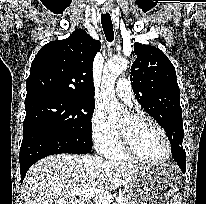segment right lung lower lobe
<instances>
[{
  "mask_svg": "<svg viewBox=\"0 0 206 204\" xmlns=\"http://www.w3.org/2000/svg\"><path fill=\"white\" fill-rule=\"evenodd\" d=\"M92 144H87L76 137L45 127H32L23 133L20 148L21 182L26 172L36 161L53 154L90 152Z\"/></svg>",
  "mask_w": 206,
  "mask_h": 204,
  "instance_id": "98d812e1",
  "label": "right lung lower lobe"
}]
</instances>
